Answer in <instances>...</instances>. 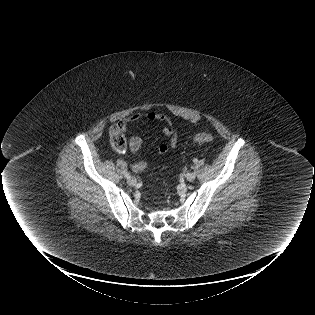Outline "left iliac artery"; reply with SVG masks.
<instances>
[{
  "instance_id": "obj_1",
  "label": "left iliac artery",
  "mask_w": 315,
  "mask_h": 315,
  "mask_svg": "<svg viewBox=\"0 0 315 315\" xmlns=\"http://www.w3.org/2000/svg\"><path fill=\"white\" fill-rule=\"evenodd\" d=\"M197 161H198L197 159H194V160H193L194 163H197Z\"/></svg>"
}]
</instances>
